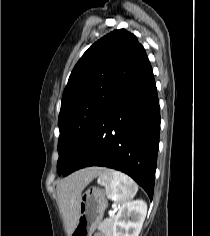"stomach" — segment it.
<instances>
[{
    "instance_id": "stomach-1",
    "label": "stomach",
    "mask_w": 210,
    "mask_h": 236,
    "mask_svg": "<svg viewBox=\"0 0 210 236\" xmlns=\"http://www.w3.org/2000/svg\"><path fill=\"white\" fill-rule=\"evenodd\" d=\"M106 208L107 198L104 190L98 187L88 189L81 196L78 220L71 236H92L100 225Z\"/></svg>"
}]
</instances>
